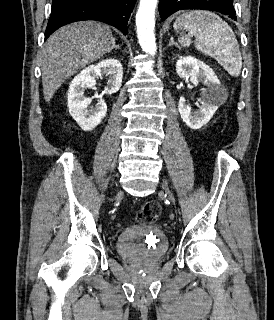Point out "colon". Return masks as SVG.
<instances>
[{
  "instance_id": "1",
  "label": "colon",
  "mask_w": 274,
  "mask_h": 320,
  "mask_svg": "<svg viewBox=\"0 0 274 320\" xmlns=\"http://www.w3.org/2000/svg\"><path fill=\"white\" fill-rule=\"evenodd\" d=\"M161 213L159 204L155 201H146L136 212V219L142 224H152Z\"/></svg>"
}]
</instances>
